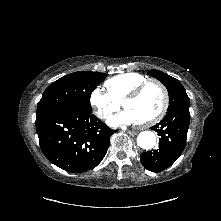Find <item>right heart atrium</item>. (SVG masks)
I'll list each match as a JSON object with an SVG mask.
<instances>
[{"mask_svg":"<svg viewBox=\"0 0 221 221\" xmlns=\"http://www.w3.org/2000/svg\"><path fill=\"white\" fill-rule=\"evenodd\" d=\"M90 104L95 115L100 119L108 118L120 108V103L113 99L108 93L96 88L90 95Z\"/></svg>","mask_w":221,"mask_h":221,"instance_id":"d8ad5b80","label":"right heart atrium"}]
</instances>
